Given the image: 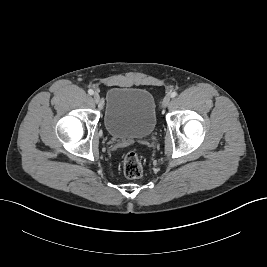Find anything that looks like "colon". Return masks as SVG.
<instances>
[{"mask_svg":"<svg viewBox=\"0 0 267 267\" xmlns=\"http://www.w3.org/2000/svg\"><path fill=\"white\" fill-rule=\"evenodd\" d=\"M143 164L135 151L126 153L123 159V172L129 179H138L143 175Z\"/></svg>","mask_w":267,"mask_h":267,"instance_id":"colon-1","label":"colon"}]
</instances>
